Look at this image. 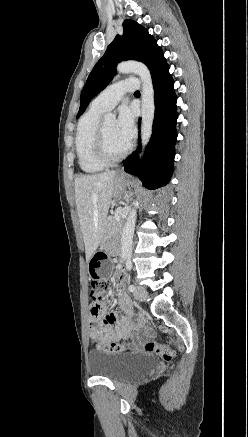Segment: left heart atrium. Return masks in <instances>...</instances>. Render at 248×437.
<instances>
[{
	"label": "left heart atrium",
	"mask_w": 248,
	"mask_h": 437,
	"mask_svg": "<svg viewBox=\"0 0 248 437\" xmlns=\"http://www.w3.org/2000/svg\"><path fill=\"white\" fill-rule=\"evenodd\" d=\"M116 131L119 137L130 143L135 135L134 114L130 108L124 106L119 111L116 121Z\"/></svg>",
	"instance_id": "39dd6f15"
}]
</instances>
